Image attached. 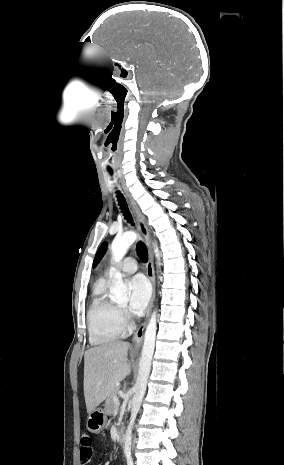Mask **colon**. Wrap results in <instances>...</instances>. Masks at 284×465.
Instances as JSON below:
<instances>
[{"label":"colon","instance_id":"1","mask_svg":"<svg viewBox=\"0 0 284 465\" xmlns=\"http://www.w3.org/2000/svg\"><path fill=\"white\" fill-rule=\"evenodd\" d=\"M93 455L92 439L83 434L80 438V460L83 464L90 461Z\"/></svg>","mask_w":284,"mask_h":465}]
</instances>
